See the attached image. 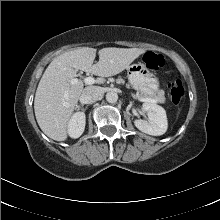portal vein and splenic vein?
Masks as SVG:
<instances>
[{"label": "portal vein and splenic vein", "instance_id": "18ae733b", "mask_svg": "<svg viewBox=\"0 0 220 220\" xmlns=\"http://www.w3.org/2000/svg\"><path fill=\"white\" fill-rule=\"evenodd\" d=\"M76 82V80H72V83L74 84ZM96 82V80L93 78V77H86L84 79V83L87 84V85H92ZM138 100H141V101H147V102H153V103H156L157 101L155 99H152V98H138Z\"/></svg>", "mask_w": 220, "mask_h": 220}]
</instances>
